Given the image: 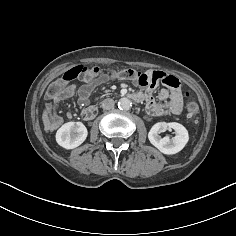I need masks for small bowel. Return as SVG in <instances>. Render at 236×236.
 <instances>
[{"label":"small bowel","mask_w":236,"mask_h":236,"mask_svg":"<svg viewBox=\"0 0 236 236\" xmlns=\"http://www.w3.org/2000/svg\"><path fill=\"white\" fill-rule=\"evenodd\" d=\"M147 83L142 85L139 77L136 78V83L144 87L143 91L137 92L133 95L146 101L147 111L153 116H177L181 113L183 107V99L179 84L174 87H169L165 81L170 77L162 71L154 70L146 73ZM105 81L104 77H99L91 83L83 85L77 91L67 88L63 91L62 98L76 96L80 105H85L88 102L89 96L93 89L101 85ZM161 82L167 88H162L158 94L159 101L157 102L153 97V90L157 83ZM58 102H52L45 107L44 110V124L45 129L49 132L54 131L62 122V118L57 114Z\"/></svg>","instance_id":"obj_1"}]
</instances>
